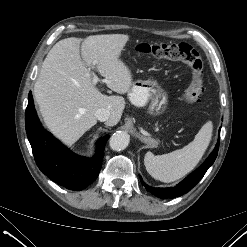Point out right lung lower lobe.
Returning a JSON list of instances; mask_svg holds the SVG:
<instances>
[{"mask_svg":"<svg viewBox=\"0 0 247 247\" xmlns=\"http://www.w3.org/2000/svg\"><path fill=\"white\" fill-rule=\"evenodd\" d=\"M25 126L34 159L42 173L53 182L69 190L79 191L96 180L109 135L98 140L96 153L92 158L72 153L43 129L34 108L31 92L28 96Z\"/></svg>","mask_w":247,"mask_h":247,"instance_id":"98d812e1","label":"right lung lower lobe"}]
</instances>
